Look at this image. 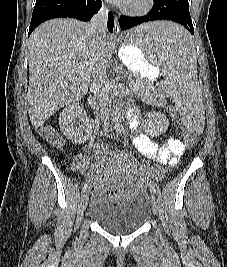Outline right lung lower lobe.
<instances>
[{"label": "right lung lower lobe", "instance_id": "1", "mask_svg": "<svg viewBox=\"0 0 227 267\" xmlns=\"http://www.w3.org/2000/svg\"><path fill=\"white\" fill-rule=\"evenodd\" d=\"M102 6L101 0H36L28 36L42 22L60 17L89 21ZM108 30L113 32L112 12L108 14Z\"/></svg>", "mask_w": 227, "mask_h": 267}]
</instances>
